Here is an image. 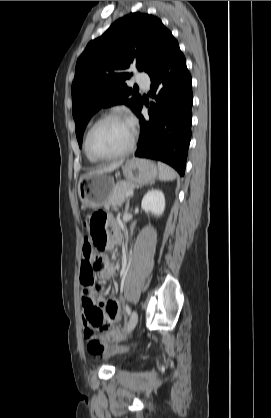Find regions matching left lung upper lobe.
<instances>
[{
    "label": "left lung upper lobe",
    "mask_w": 271,
    "mask_h": 418,
    "mask_svg": "<svg viewBox=\"0 0 271 418\" xmlns=\"http://www.w3.org/2000/svg\"><path fill=\"white\" fill-rule=\"evenodd\" d=\"M172 33L153 15L130 13L99 38L77 60L72 83L73 117L79 146L85 127L101 107L126 104L136 113L142 98L125 84L136 67L148 74L158 64Z\"/></svg>",
    "instance_id": "left-lung-upper-lobe-1"
}]
</instances>
